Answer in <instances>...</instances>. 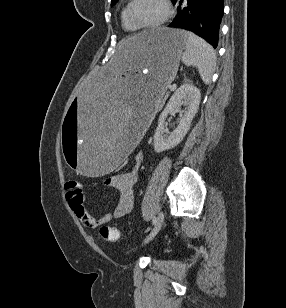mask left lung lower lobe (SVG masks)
I'll return each instance as SVG.
<instances>
[{"label": "left lung lower lobe", "instance_id": "obj_1", "mask_svg": "<svg viewBox=\"0 0 286 308\" xmlns=\"http://www.w3.org/2000/svg\"><path fill=\"white\" fill-rule=\"evenodd\" d=\"M172 3L178 14L169 27L192 31L216 48L223 0H172Z\"/></svg>", "mask_w": 286, "mask_h": 308}]
</instances>
